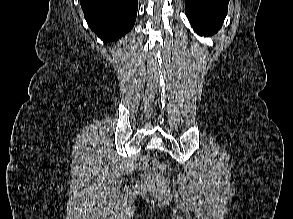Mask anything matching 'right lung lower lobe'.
I'll list each match as a JSON object with an SVG mask.
<instances>
[{
    "label": "right lung lower lobe",
    "mask_w": 293,
    "mask_h": 219,
    "mask_svg": "<svg viewBox=\"0 0 293 219\" xmlns=\"http://www.w3.org/2000/svg\"><path fill=\"white\" fill-rule=\"evenodd\" d=\"M84 17L104 42L115 41L134 26L138 0H80Z\"/></svg>",
    "instance_id": "obj_1"
}]
</instances>
